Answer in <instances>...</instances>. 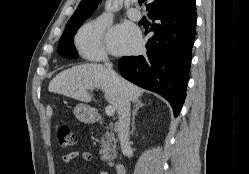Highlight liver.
I'll use <instances>...</instances> for the list:
<instances>
[{"label":"liver","mask_w":249,"mask_h":174,"mask_svg":"<svg viewBox=\"0 0 249 174\" xmlns=\"http://www.w3.org/2000/svg\"><path fill=\"white\" fill-rule=\"evenodd\" d=\"M121 86L129 101H136L143 91L136 85L118 76ZM101 89L104 97L115 110H118V88L114 84L108 69L97 63H86L66 69L56 75L49 83V91L82 102L92 100L94 89Z\"/></svg>","instance_id":"1"}]
</instances>
